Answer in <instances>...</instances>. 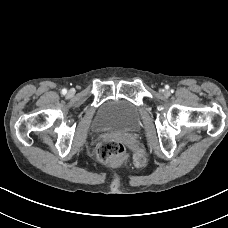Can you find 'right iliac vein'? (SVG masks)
<instances>
[{"mask_svg":"<svg viewBox=\"0 0 228 228\" xmlns=\"http://www.w3.org/2000/svg\"><path fill=\"white\" fill-rule=\"evenodd\" d=\"M69 95H72V91H69Z\"/></svg>","mask_w":228,"mask_h":228,"instance_id":"1","label":"right iliac vein"}]
</instances>
